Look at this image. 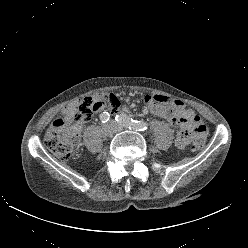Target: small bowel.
Masks as SVG:
<instances>
[{
  "label": "small bowel",
  "instance_id": "c3829d8e",
  "mask_svg": "<svg viewBox=\"0 0 248 248\" xmlns=\"http://www.w3.org/2000/svg\"><path fill=\"white\" fill-rule=\"evenodd\" d=\"M166 96L158 95L156 100L154 97L145 96L144 101L146 106L141 110V114H147L148 112L165 119L169 123L175 124L180 128L175 140V144L178 149L184 150L193 135H195L194 127L199 124V118L195 113L186 108V106L178 101L174 100L171 104L170 98H164ZM95 98L101 102V106L98 111L109 108L112 112H115L120 107V102L114 94H99ZM75 105L69 106L65 112Z\"/></svg>",
  "mask_w": 248,
  "mask_h": 248
}]
</instances>
